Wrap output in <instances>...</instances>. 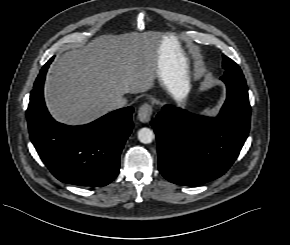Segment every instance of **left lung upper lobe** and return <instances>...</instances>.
Returning a JSON list of instances; mask_svg holds the SVG:
<instances>
[{
  "label": "left lung upper lobe",
  "instance_id": "5c2ea615",
  "mask_svg": "<svg viewBox=\"0 0 290 245\" xmlns=\"http://www.w3.org/2000/svg\"><path fill=\"white\" fill-rule=\"evenodd\" d=\"M223 68L225 69V74H242L240 67L227 56H224Z\"/></svg>",
  "mask_w": 290,
  "mask_h": 245
}]
</instances>
